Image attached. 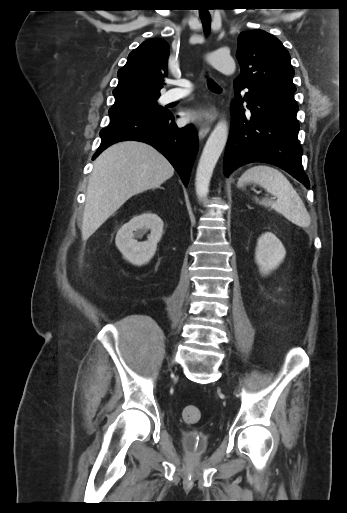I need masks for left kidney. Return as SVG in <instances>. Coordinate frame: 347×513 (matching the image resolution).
Wrapping results in <instances>:
<instances>
[{
	"label": "left kidney",
	"instance_id": "5707ae66",
	"mask_svg": "<svg viewBox=\"0 0 347 513\" xmlns=\"http://www.w3.org/2000/svg\"><path fill=\"white\" fill-rule=\"evenodd\" d=\"M285 255L286 250L282 242L273 233L266 232L259 237L255 259L261 273L267 275L276 269Z\"/></svg>",
	"mask_w": 347,
	"mask_h": 513
}]
</instances>
